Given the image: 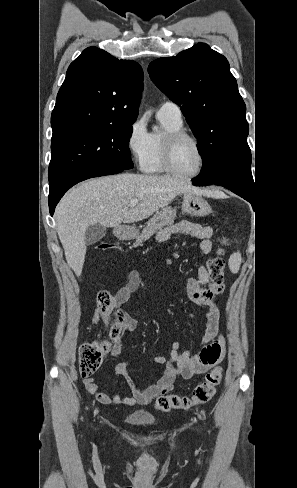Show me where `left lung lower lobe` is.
Wrapping results in <instances>:
<instances>
[{
	"instance_id": "left-lung-lower-lobe-1",
	"label": "left lung lower lobe",
	"mask_w": 297,
	"mask_h": 488,
	"mask_svg": "<svg viewBox=\"0 0 297 488\" xmlns=\"http://www.w3.org/2000/svg\"><path fill=\"white\" fill-rule=\"evenodd\" d=\"M192 180H193V185L202 186V185H200L199 182L196 181L195 178H193ZM215 185L223 186V187L231 190L235 194L239 195L240 197L244 198L245 200H247L251 204L254 203V192L253 191H250L248 189H245L244 187H241V186L235 185L233 183H229V182L215 183Z\"/></svg>"
}]
</instances>
